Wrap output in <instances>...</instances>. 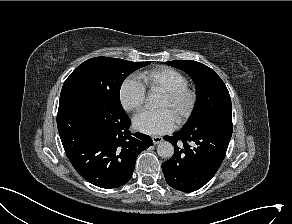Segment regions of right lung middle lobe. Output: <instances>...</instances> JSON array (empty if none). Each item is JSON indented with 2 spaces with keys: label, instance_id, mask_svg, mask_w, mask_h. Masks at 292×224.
<instances>
[{
  "label": "right lung middle lobe",
  "instance_id": "right-lung-middle-lobe-1",
  "mask_svg": "<svg viewBox=\"0 0 292 224\" xmlns=\"http://www.w3.org/2000/svg\"><path fill=\"white\" fill-rule=\"evenodd\" d=\"M110 57H95L79 65L66 79L60 99L80 97L112 112H125L120 103V88L135 70L149 65Z\"/></svg>",
  "mask_w": 292,
  "mask_h": 224
}]
</instances>
